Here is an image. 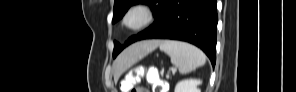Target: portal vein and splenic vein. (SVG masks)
I'll list each match as a JSON object with an SVG mask.
<instances>
[{"label": "portal vein and splenic vein", "mask_w": 296, "mask_h": 92, "mask_svg": "<svg viewBox=\"0 0 296 92\" xmlns=\"http://www.w3.org/2000/svg\"><path fill=\"white\" fill-rule=\"evenodd\" d=\"M172 72L175 73L176 72V68H172Z\"/></svg>", "instance_id": "portal-vein-and-splenic-vein-1"}]
</instances>
